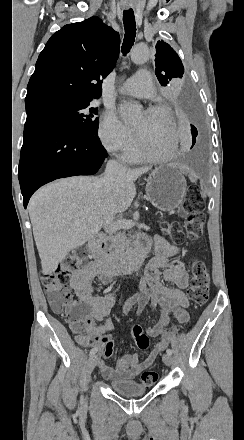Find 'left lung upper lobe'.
I'll use <instances>...</instances> for the list:
<instances>
[{"label": "left lung upper lobe", "mask_w": 244, "mask_h": 440, "mask_svg": "<svg viewBox=\"0 0 244 440\" xmlns=\"http://www.w3.org/2000/svg\"><path fill=\"white\" fill-rule=\"evenodd\" d=\"M155 74L162 86L184 77V67L177 53L164 41H158Z\"/></svg>", "instance_id": "left-lung-upper-lobe-1"}]
</instances>
